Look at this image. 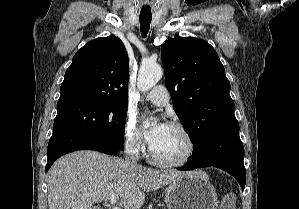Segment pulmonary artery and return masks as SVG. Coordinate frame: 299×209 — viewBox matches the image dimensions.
I'll return each instance as SVG.
<instances>
[{
  "instance_id": "pulmonary-artery-1",
  "label": "pulmonary artery",
  "mask_w": 299,
  "mask_h": 209,
  "mask_svg": "<svg viewBox=\"0 0 299 209\" xmlns=\"http://www.w3.org/2000/svg\"><path fill=\"white\" fill-rule=\"evenodd\" d=\"M145 98L154 105L164 106L168 104L170 95L164 86L157 85L145 95Z\"/></svg>"
}]
</instances>
